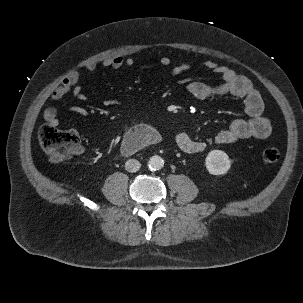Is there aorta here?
Segmentation results:
<instances>
[{
    "mask_svg": "<svg viewBox=\"0 0 303 303\" xmlns=\"http://www.w3.org/2000/svg\"><path fill=\"white\" fill-rule=\"evenodd\" d=\"M164 165V160L160 156H152L148 161V167L152 171L160 170Z\"/></svg>",
    "mask_w": 303,
    "mask_h": 303,
    "instance_id": "obj_1",
    "label": "aorta"
}]
</instances>
